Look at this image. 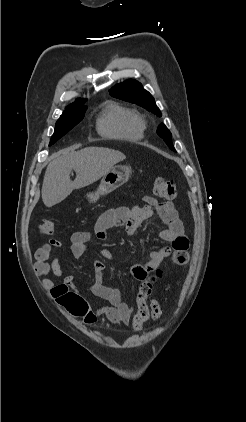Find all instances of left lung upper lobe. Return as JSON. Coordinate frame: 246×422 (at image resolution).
<instances>
[{
  "mask_svg": "<svg viewBox=\"0 0 246 422\" xmlns=\"http://www.w3.org/2000/svg\"><path fill=\"white\" fill-rule=\"evenodd\" d=\"M110 94L113 97L142 106L157 116L162 115L159 108L155 104L154 98L136 80H128L118 84L110 90ZM157 134L166 142L171 150L175 151L171 140V132L164 124L159 125Z\"/></svg>",
  "mask_w": 246,
  "mask_h": 422,
  "instance_id": "left-lung-upper-lobe-1",
  "label": "left lung upper lobe"
}]
</instances>
